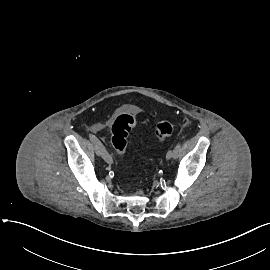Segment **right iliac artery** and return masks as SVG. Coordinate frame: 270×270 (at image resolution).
Listing matches in <instances>:
<instances>
[{"label":"right iliac artery","instance_id":"obj_1","mask_svg":"<svg viewBox=\"0 0 270 270\" xmlns=\"http://www.w3.org/2000/svg\"><path fill=\"white\" fill-rule=\"evenodd\" d=\"M89 138H90L91 142L99 148L101 155H102V158L107 163H110V164L113 163L112 157L109 155V153L107 152L105 147L102 145V143L97 139V137L93 134H89Z\"/></svg>","mask_w":270,"mask_h":270}]
</instances>
